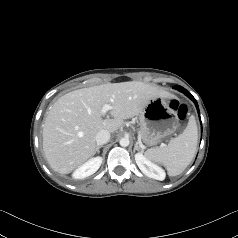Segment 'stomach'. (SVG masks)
Returning <instances> with one entry per match:
<instances>
[{
    "label": "stomach",
    "mask_w": 238,
    "mask_h": 238,
    "mask_svg": "<svg viewBox=\"0 0 238 238\" xmlns=\"http://www.w3.org/2000/svg\"><path fill=\"white\" fill-rule=\"evenodd\" d=\"M142 140L146 145L153 146L173 134L179 119L174 109L163 97L152 98L139 114Z\"/></svg>",
    "instance_id": "stomach-1"
}]
</instances>
